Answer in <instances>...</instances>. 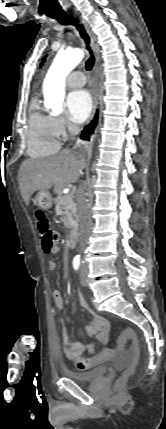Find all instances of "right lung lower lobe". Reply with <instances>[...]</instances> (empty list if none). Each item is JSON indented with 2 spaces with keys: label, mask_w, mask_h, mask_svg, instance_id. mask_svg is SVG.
Returning <instances> with one entry per match:
<instances>
[{
  "label": "right lung lower lobe",
  "mask_w": 166,
  "mask_h": 429,
  "mask_svg": "<svg viewBox=\"0 0 166 429\" xmlns=\"http://www.w3.org/2000/svg\"><path fill=\"white\" fill-rule=\"evenodd\" d=\"M98 122V111L96 112V115L94 116V119L92 122L84 128L81 134V138L85 140H90V135L94 133L95 127Z\"/></svg>",
  "instance_id": "right-lung-lower-lobe-1"
}]
</instances>
